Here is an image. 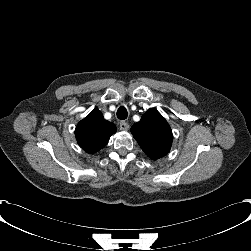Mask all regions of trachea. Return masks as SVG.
<instances>
[{"mask_svg": "<svg viewBox=\"0 0 251 251\" xmlns=\"http://www.w3.org/2000/svg\"><path fill=\"white\" fill-rule=\"evenodd\" d=\"M116 115H117L118 119L125 120L128 115L127 109L124 106L119 107Z\"/></svg>", "mask_w": 251, "mask_h": 251, "instance_id": "3493384b", "label": "trachea"}]
</instances>
